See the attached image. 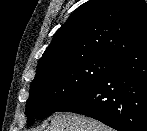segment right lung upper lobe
<instances>
[{
    "mask_svg": "<svg viewBox=\"0 0 147 131\" xmlns=\"http://www.w3.org/2000/svg\"><path fill=\"white\" fill-rule=\"evenodd\" d=\"M145 43L144 0H89L57 30L38 62L36 74L90 57L118 61Z\"/></svg>",
    "mask_w": 147,
    "mask_h": 131,
    "instance_id": "right-lung-upper-lobe-1",
    "label": "right lung upper lobe"
}]
</instances>
